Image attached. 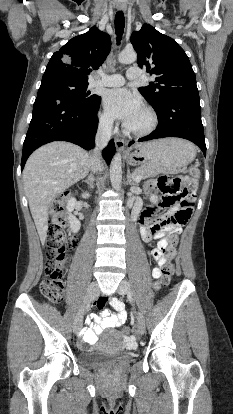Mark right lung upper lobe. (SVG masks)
Here are the masks:
<instances>
[{"instance_id":"right-lung-upper-lobe-1","label":"right lung upper lobe","mask_w":233,"mask_h":414,"mask_svg":"<svg viewBox=\"0 0 233 414\" xmlns=\"http://www.w3.org/2000/svg\"><path fill=\"white\" fill-rule=\"evenodd\" d=\"M110 49V36L94 26L55 52L43 76H62L87 82L89 73L99 68Z\"/></svg>"}]
</instances>
